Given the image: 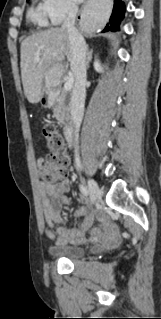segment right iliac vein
I'll use <instances>...</instances> for the list:
<instances>
[{"label":"right iliac vein","instance_id":"1","mask_svg":"<svg viewBox=\"0 0 161 319\" xmlns=\"http://www.w3.org/2000/svg\"><path fill=\"white\" fill-rule=\"evenodd\" d=\"M88 186L90 191L91 204H94L100 194V189L98 184L92 179L88 181Z\"/></svg>","mask_w":161,"mask_h":319}]
</instances>
